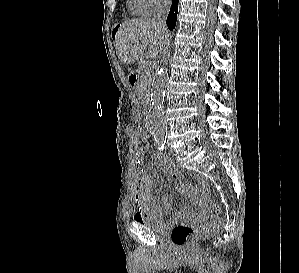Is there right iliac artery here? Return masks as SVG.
I'll list each match as a JSON object with an SVG mask.
<instances>
[{"instance_id": "right-iliac-artery-1", "label": "right iliac artery", "mask_w": 299, "mask_h": 273, "mask_svg": "<svg viewBox=\"0 0 299 273\" xmlns=\"http://www.w3.org/2000/svg\"><path fill=\"white\" fill-rule=\"evenodd\" d=\"M157 148L162 151L165 148V142H158L157 143Z\"/></svg>"}]
</instances>
